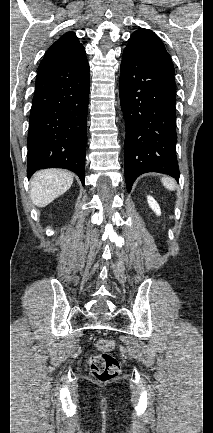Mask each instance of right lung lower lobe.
I'll use <instances>...</instances> for the list:
<instances>
[{
  "instance_id": "obj_1",
  "label": "right lung lower lobe",
  "mask_w": 213,
  "mask_h": 433,
  "mask_svg": "<svg viewBox=\"0 0 213 433\" xmlns=\"http://www.w3.org/2000/svg\"><path fill=\"white\" fill-rule=\"evenodd\" d=\"M89 64L38 71L29 119L27 176L42 168H66L84 184Z\"/></svg>"
}]
</instances>
